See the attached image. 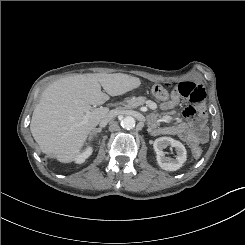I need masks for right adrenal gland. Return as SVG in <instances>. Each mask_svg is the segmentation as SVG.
Returning <instances> with one entry per match:
<instances>
[{"instance_id":"obj_1","label":"right adrenal gland","mask_w":245,"mask_h":245,"mask_svg":"<svg viewBox=\"0 0 245 245\" xmlns=\"http://www.w3.org/2000/svg\"><path fill=\"white\" fill-rule=\"evenodd\" d=\"M102 131V128H96L94 129L91 133H90V136H89V140L91 141V139H93L94 136L97 135V133H100Z\"/></svg>"}]
</instances>
